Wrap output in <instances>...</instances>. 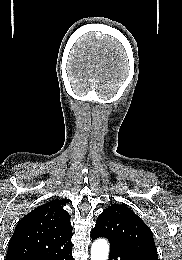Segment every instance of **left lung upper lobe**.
I'll return each mask as SVG.
<instances>
[{"label": "left lung upper lobe", "instance_id": "obj_1", "mask_svg": "<svg viewBox=\"0 0 182 260\" xmlns=\"http://www.w3.org/2000/svg\"><path fill=\"white\" fill-rule=\"evenodd\" d=\"M91 234L105 237L110 244L144 253L158 260L150 228L130 208L112 205L97 218Z\"/></svg>", "mask_w": 182, "mask_h": 260}]
</instances>
